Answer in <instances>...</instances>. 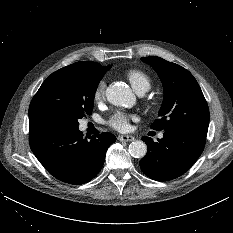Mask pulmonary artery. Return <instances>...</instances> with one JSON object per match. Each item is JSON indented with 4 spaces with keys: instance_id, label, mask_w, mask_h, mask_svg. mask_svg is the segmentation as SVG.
Masks as SVG:
<instances>
[{
    "instance_id": "pulmonary-artery-1",
    "label": "pulmonary artery",
    "mask_w": 233,
    "mask_h": 233,
    "mask_svg": "<svg viewBox=\"0 0 233 233\" xmlns=\"http://www.w3.org/2000/svg\"><path fill=\"white\" fill-rule=\"evenodd\" d=\"M145 92H146V91H143V90H142V91H138L137 93H138V95L142 96V95H144ZM159 137L162 138V137H163V134H160Z\"/></svg>"
}]
</instances>
